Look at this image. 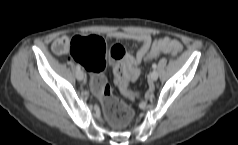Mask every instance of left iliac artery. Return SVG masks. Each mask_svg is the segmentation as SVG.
Returning a JSON list of instances; mask_svg holds the SVG:
<instances>
[{
	"label": "left iliac artery",
	"mask_w": 238,
	"mask_h": 145,
	"mask_svg": "<svg viewBox=\"0 0 238 145\" xmlns=\"http://www.w3.org/2000/svg\"><path fill=\"white\" fill-rule=\"evenodd\" d=\"M152 67H153V69H156V68H157V65H156V64H153Z\"/></svg>",
	"instance_id": "left-iliac-artery-1"
}]
</instances>
